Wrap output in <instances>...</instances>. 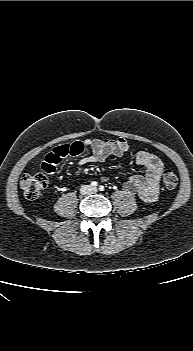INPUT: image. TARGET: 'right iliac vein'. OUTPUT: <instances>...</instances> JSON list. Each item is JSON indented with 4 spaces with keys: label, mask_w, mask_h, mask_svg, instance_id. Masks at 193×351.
Instances as JSON below:
<instances>
[{
    "label": "right iliac vein",
    "mask_w": 193,
    "mask_h": 351,
    "mask_svg": "<svg viewBox=\"0 0 193 351\" xmlns=\"http://www.w3.org/2000/svg\"><path fill=\"white\" fill-rule=\"evenodd\" d=\"M81 193H82V194H88V193H90L89 187H88V186H83V187L81 188Z\"/></svg>",
    "instance_id": "right-iliac-vein-1"
}]
</instances>
